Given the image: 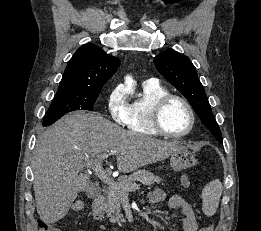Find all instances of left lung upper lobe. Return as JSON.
I'll return each instance as SVG.
<instances>
[{"label":"left lung upper lobe","mask_w":261,"mask_h":231,"mask_svg":"<svg viewBox=\"0 0 261 231\" xmlns=\"http://www.w3.org/2000/svg\"><path fill=\"white\" fill-rule=\"evenodd\" d=\"M154 63L165 79L187 98L202 123L219 142H222L221 131L212 113L204 88L198 79L196 68L189 58L173 49H168L158 54L154 58Z\"/></svg>","instance_id":"1"}]
</instances>
